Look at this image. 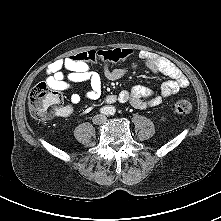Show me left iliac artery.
<instances>
[{"mask_svg": "<svg viewBox=\"0 0 221 221\" xmlns=\"http://www.w3.org/2000/svg\"><path fill=\"white\" fill-rule=\"evenodd\" d=\"M110 113H114V110H111Z\"/></svg>", "mask_w": 221, "mask_h": 221, "instance_id": "44dca946", "label": "left iliac artery"}]
</instances>
